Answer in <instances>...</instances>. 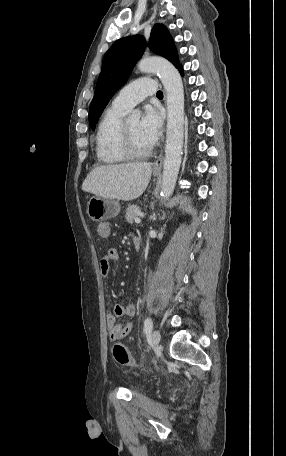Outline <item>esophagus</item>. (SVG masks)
<instances>
[{
    "mask_svg": "<svg viewBox=\"0 0 286 456\" xmlns=\"http://www.w3.org/2000/svg\"><path fill=\"white\" fill-rule=\"evenodd\" d=\"M163 163V150L160 152L157 160L154 163L153 169L154 171H161Z\"/></svg>",
    "mask_w": 286,
    "mask_h": 456,
    "instance_id": "obj_1",
    "label": "esophagus"
}]
</instances>
